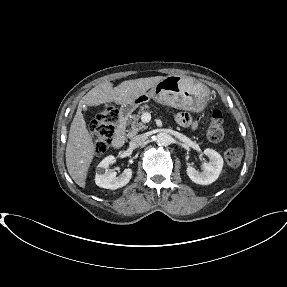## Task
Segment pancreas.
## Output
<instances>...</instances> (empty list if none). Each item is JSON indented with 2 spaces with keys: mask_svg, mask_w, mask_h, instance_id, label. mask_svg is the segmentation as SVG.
<instances>
[{
  "mask_svg": "<svg viewBox=\"0 0 287 287\" xmlns=\"http://www.w3.org/2000/svg\"><path fill=\"white\" fill-rule=\"evenodd\" d=\"M147 111H149L148 105L141 106L139 111H138V114L132 115L130 117V119L127 122V125L130 126V129L127 130V136L128 137H132L135 134H137L138 132L143 131L147 128V126L143 122L139 121L142 114L147 112Z\"/></svg>",
  "mask_w": 287,
  "mask_h": 287,
  "instance_id": "pancreas-1",
  "label": "pancreas"
}]
</instances>
